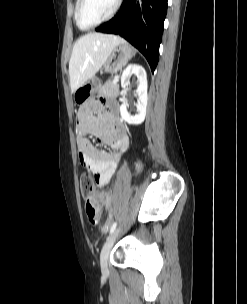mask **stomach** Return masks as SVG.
Segmentation results:
<instances>
[{"label": "stomach", "instance_id": "obj_1", "mask_svg": "<svg viewBox=\"0 0 247 304\" xmlns=\"http://www.w3.org/2000/svg\"><path fill=\"white\" fill-rule=\"evenodd\" d=\"M134 53L135 50L128 43L124 42L117 45L104 63L103 69L111 74L117 73L128 63ZM96 89V84L85 83L74 92L75 103L78 105L86 103L93 96Z\"/></svg>", "mask_w": 247, "mask_h": 304}]
</instances>
